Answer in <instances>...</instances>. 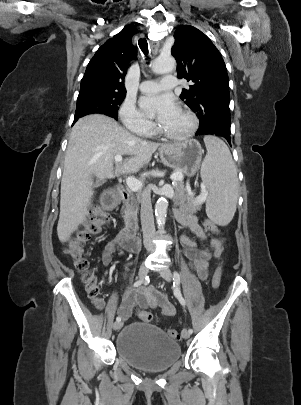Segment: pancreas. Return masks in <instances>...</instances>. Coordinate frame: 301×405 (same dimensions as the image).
<instances>
[{
	"mask_svg": "<svg viewBox=\"0 0 301 405\" xmlns=\"http://www.w3.org/2000/svg\"><path fill=\"white\" fill-rule=\"evenodd\" d=\"M176 172H181L183 175L182 170H177ZM174 198L173 202L175 205L179 206L181 209L185 210L186 212L194 213L201 209V202H198L193 199L192 195L186 194V189L184 188V183L182 181H177L174 184ZM139 199V195H137V200ZM136 202V200H134ZM130 211L134 210V205L129 208ZM135 213V211H133Z\"/></svg>",
	"mask_w": 301,
	"mask_h": 405,
	"instance_id": "1",
	"label": "pancreas"
}]
</instances>
